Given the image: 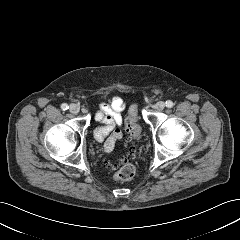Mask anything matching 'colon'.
<instances>
[{"instance_id": "1", "label": "colon", "mask_w": 240, "mask_h": 240, "mask_svg": "<svg viewBox=\"0 0 240 240\" xmlns=\"http://www.w3.org/2000/svg\"><path fill=\"white\" fill-rule=\"evenodd\" d=\"M126 131L131 138H135L140 133L138 125V114L136 105L131 106L125 122ZM136 151L134 147H130L128 156L122 160L121 167L115 174L116 181L131 180L136 174V168L131 163V159L135 156Z\"/></svg>"}]
</instances>
